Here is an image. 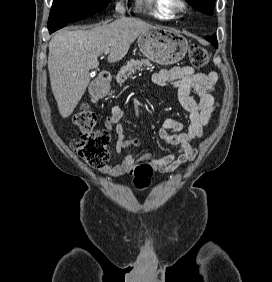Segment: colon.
Here are the masks:
<instances>
[{"instance_id": "colon-1", "label": "colon", "mask_w": 272, "mask_h": 282, "mask_svg": "<svg viewBox=\"0 0 272 282\" xmlns=\"http://www.w3.org/2000/svg\"><path fill=\"white\" fill-rule=\"evenodd\" d=\"M189 58L194 67H204L208 63L209 55L203 47L194 44L190 47ZM72 119L80 132L70 139V148L90 166L97 169L105 167L109 160L110 134L106 129L93 130L98 122L96 112L89 104L83 103ZM148 172V166L139 167L138 178Z\"/></svg>"}]
</instances>
